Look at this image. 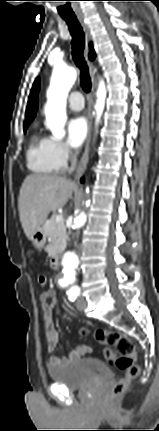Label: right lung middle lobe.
Wrapping results in <instances>:
<instances>
[{
    "label": "right lung middle lobe",
    "mask_w": 159,
    "mask_h": 431,
    "mask_svg": "<svg viewBox=\"0 0 159 431\" xmlns=\"http://www.w3.org/2000/svg\"><path fill=\"white\" fill-rule=\"evenodd\" d=\"M27 127H28V125H27V126H24V131H26Z\"/></svg>",
    "instance_id": "1"
}]
</instances>
